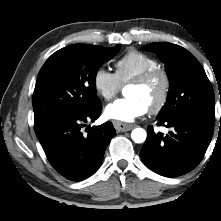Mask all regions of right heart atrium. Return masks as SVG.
<instances>
[{"mask_svg":"<svg viewBox=\"0 0 221 221\" xmlns=\"http://www.w3.org/2000/svg\"><path fill=\"white\" fill-rule=\"evenodd\" d=\"M93 85L97 94L104 100H111L121 89V84L115 73L104 67H99L95 71Z\"/></svg>","mask_w":221,"mask_h":221,"instance_id":"right-heart-atrium-1","label":"right heart atrium"}]
</instances>
